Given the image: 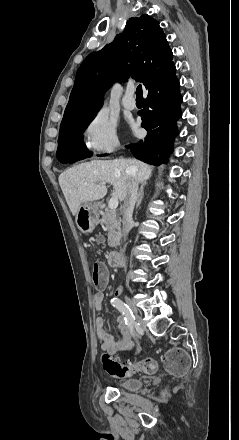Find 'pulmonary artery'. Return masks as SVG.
<instances>
[{
  "instance_id": "1",
  "label": "pulmonary artery",
  "mask_w": 239,
  "mask_h": 440,
  "mask_svg": "<svg viewBox=\"0 0 239 440\" xmlns=\"http://www.w3.org/2000/svg\"><path fill=\"white\" fill-rule=\"evenodd\" d=\"M135 93V87L133 85H129L124 96L121 98V105L128 110L135 109L136 105L134 102H130L128 97L133 96Z\"/></svg>"
}]
</instances>
